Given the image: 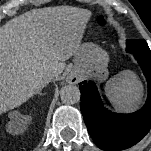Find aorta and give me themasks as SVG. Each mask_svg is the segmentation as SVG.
<instances>
[{
    "instance_id": "aorta-1",
    "label": "aorta",
    "mask_w": 151,
    "mask_h": 151,
    "mask_svg": "<svg viewBox=\"0 0 151 151\" xmlns=\"http://www.w3.org/2000/svg\"><path fill=\"white\" fill-rule=\"evenodd\" d=\"M80 90L74 85H67L61 89L60 98L64 104H75L80 100Z\"/></svg>"
}]
</instances>
